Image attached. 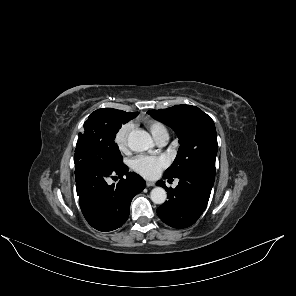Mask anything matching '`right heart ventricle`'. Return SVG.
Returning a JSON list of instances; mask_svg holds the SVG:
<instances>
[{"label": "right heart ventricle", "mask_w": 296, "mask_h": 296, "mask_svg": "<svg viewBox=\"0 0 296 296\" xmlns=\"http://www.w3.org/2000/svg\"><path fill=\"white\" fill-rule=\"evenodd\" d=\"M145 127L150 131L155 140L159 139L164 135H168L167 127L164 123L156 119H145L143 120Z\"/></svg>", "instance_id": "obj_1"}]
</instances>
